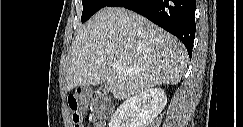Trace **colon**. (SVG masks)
Returning a JSON list of instances; mask_svg holds the SVG:
<instances>
[{
  "instance_id": "colon-1",
  "label": "colon",
  "mask_w": 243,
  "mask_h": 127,
  "mask_svg": "<svg viewBox=\"0 0 243 127\" xmlns=\"http://www.w3.org/2000/svg\"><path fill=\"white\" fill-rule=\"evenodd\" d=\"M67 103L71 112L72 123L75 127H83L86 110L89 111L88 120L95 123L97 127H102L109 117V113L103 105H89L80 93L70 94Z\"/></svg>"
}]
</instances>
